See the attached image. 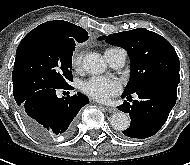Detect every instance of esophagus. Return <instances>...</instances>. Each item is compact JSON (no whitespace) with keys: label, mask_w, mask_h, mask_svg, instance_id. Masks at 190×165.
<instances>
[{"label":"esophagus","mask_w":190,"mask_h":165,"mask_svg":"<svg viewBox=\"0 0 190 165\" xmlns=\"http://www.w3.org/2000/svg\"><path fill=\"white\" fill-rule=\"evenodd\" d=\"M100 106H102V105H100ZM102 107L105 109V111H107L109 113H115L117 111V109L114 107H109V106H102Z\"/></svg>","instance_id":"1"}]
</instances>
